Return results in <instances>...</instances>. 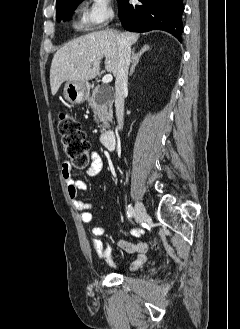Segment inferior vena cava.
Returning <instances> with one entry per match:
<instances>
[{
	"label": "inferior vena cava",
	"mask_w": 240,
	"mask_h": 329,
	"mask_svg": "<svg viewBox=\"0 0 240 329\" xmlns=\"http://www.w3.org/2000/svg\"><path fill=\"white\" fill-rule=\"evenodd\" d=\"M118 44V68L115 81V109L118 121L117 129L123 128L124 120V97L128 93V69L130 65L131 46L124 34L117 35Z\"/></svg>",
	"instance_id": "602c4592"
}]
</instances>
